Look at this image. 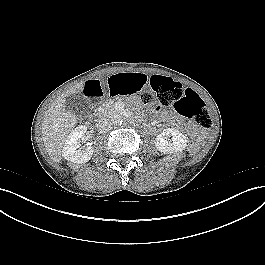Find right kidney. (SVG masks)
Wrapping results in <instances>:
<instances>
[{"label": "right kidney", "instance_id": "obj_1", "mask_svg": "<svg viewBox=\"0 0 265 265\" xmlns=\"http://www.w3.org/2000/svg\"><path fill=\"white\" fill-rule=\"evenodd\" d=\"M86 131L87 127L81 125L69 134L62 149L64 159L76 164L86 163L91 159L94 148L91 146L81 148V141L84 140Z\"/></svg>", "mask_w": 265, "mask_h": 265}]
</instances>
